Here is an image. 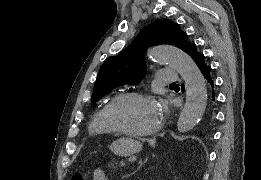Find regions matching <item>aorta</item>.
Segmentation results:
<instances>
[{
    "label": "aorta",
    "instance_id": "1",
    "mask_svg": "<svg viewBox=\"0 0 261 180\" xmlns=\"http://www.w3.org/2000/svg\"><path fill=\"white\" fill-rule=\"evenodd\" d=\"M148 56L155 62L168 64L176 70L185 82L186 103L179 116V132L192 130L202 118L207 105L206 82L193 59L173 46L154 47Z\"/></svg>",
    "mask_w": 261,
    "mask_h": 180
}]
</instances>
